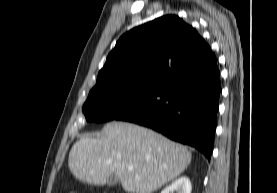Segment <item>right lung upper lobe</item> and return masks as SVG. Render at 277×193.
Returning a JSON list of instances; mask_svg holds the SVG:
<instances>
[{
    "label": "right lung upper lobe",
    "instance_id": "obj_1",
    "mask_svg": "<svg viewBox=\"0 0 277 193\" xmlns=\"http://www.w3.org/2000/svg\"><path fill=\"white\" fill-rule=\"evenodd\" d=\"M212 55L192 26L176 15L162 16L133 28L118 40L90 92L126 86L158 88Z\"/></svg>",
    "mask_w": 277,
    "mask_h": 193
}]
</instances>
